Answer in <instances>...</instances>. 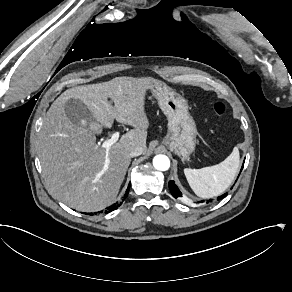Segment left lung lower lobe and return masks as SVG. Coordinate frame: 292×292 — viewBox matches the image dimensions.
<instances>
[{
  "mask_svg": "<svg viewBox=\"0 0 292 292\" xmlns=\"http://www.w3.org/2000/svg\"><path fill=\"white\" fill-rule=\"evenodd\" d=\"M242 168H243V166H242ZM169 189H170V192H171V194L173 195V197H175V198L182 197V193H181V191H180L179 188L176 186V184H175V182H174L173 180L169 181ZM226 196H227V193H225V194L219 196V197L217 198V200H221V199L225 198ZM202 202H203V201H202ZM209 202H212V200H211V199L207 200V203H209ZM198 203H199V202H198Z\"/></svg>",
  "mask_w": 292,
  "mask_h": 292,
  "instance_id": "obj_1",
  "label": "left lung lower lobe"
}]
</instances>
